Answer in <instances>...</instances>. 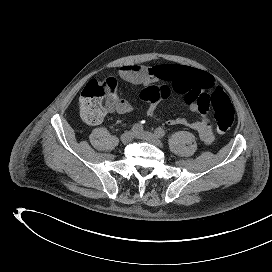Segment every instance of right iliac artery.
I'll list each match as a JSON object with an SVG mask.
<instances>
[{
    "label": "right iliac artery",
    "mask_w": 272,
    "mask_h": 272,
    "mask_svg": "<svg viewBox=\"0 0 272 272\" xmlns=\"http://www.w3.org/2000/svg\"><path fill=\"white\" fill-rule=\"evenodd\" d=\"M133 132L139 133L143 131V126L140 123H136L132 127Z\"/></svg>",
    "instance_id": "1"
}]
</instances>
